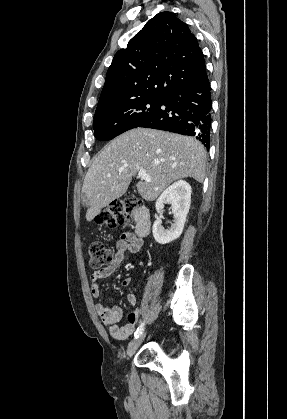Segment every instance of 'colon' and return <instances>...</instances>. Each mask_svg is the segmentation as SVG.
Returning <instances> with one entry per match:
<instances>
[{
  "label": "colon",
  "mask_w": 287,
  "mask_h": 419,
  "mask_svg": "<svg viewBox=\"0 0 287 419\" xmlns=\"http://www.w3.org/2000/svg\"><path fill=\"white\" fill-rule=\"evenodd\" d=\"M140 207V203L131 199L115 200L109 206L100 211L95 222L99 226L115 228L122 223H132L135 210ZM89 264L92 268H100L108 264L111 260L110 249L100 242H93L89 246Z\"/></svg>",
  "instance_id": "1"
}]
</instances>
